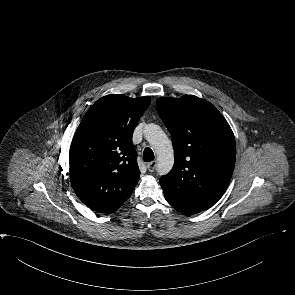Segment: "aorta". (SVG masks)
I'll list each match as a JSON object with an SVG mask.
<instances>
[{"label": "aorta", "mask_w": 295, "mask_h": 295, "mask_svg": "<svg viewBox=\"0 0 295 295\" xmlns=\"http://www.w3.org/2000/svg\"><path fill=\"white\" fill-rule=\"evenodd\" d=\"M144 136L157 153V172L165 175L170 172L174 164L173 146L165 132L154 123L144 127Z\"/></svg>", "instance_id": "obj_1"}]
</instances>
